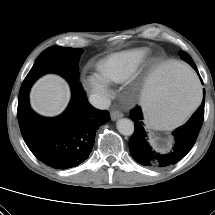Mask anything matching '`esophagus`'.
<instances>
[{"mask_svg":"<svg viewBox=\"0 0 215 215\" xmlns=\"http://www.w3.org/2000/svg\"><path fill=\"white\" fill-rule=\"evenodd\" d=\"M111 119L113 121L117 120L118 118H121L123 116V114L120 112V111H117V110H112L111 113Z\"/></svg>","mask_w":215,"mask_h":215,"instance_id":"esophagus-1","label":"esophagus"}]
</instances>
